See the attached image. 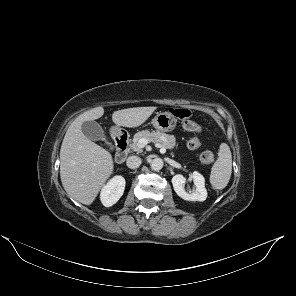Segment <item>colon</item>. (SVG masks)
Masks as SVG:
<instances>
[{"mask_svg": "<svg viewBox=\"0 0 296 296\" xmlns=\"http://www.w3.org/2000/svg\"><path fill=\"white\" fill-rule=\"evenodd\" d=\"M170 112L182 120V126L186 131L201 133V126L192 120V113L185 108H171ZM187 146L191 150H197L201 146V141L197 137H192L188 140ZM214 160V154L211 151H204L200 154V161L205 164L212 163Z\"/></svg>", "mask_w": 296, "mask_h": 296, "instance_id": "obj_1", "label": "colon"}]
</instances>
